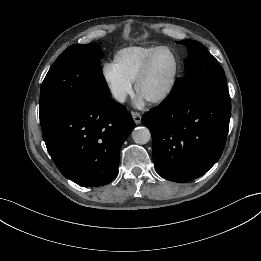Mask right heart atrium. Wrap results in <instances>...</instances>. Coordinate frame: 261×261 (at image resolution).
I'll return each mask as SVG.
<instances>
[{
    "mask_svg": "<svg viewBox=\"0 0 261 261\" xmlns=\"http://www.w3.org/2000/svg\"><path fill=\"white\" fill-rule=\"evenodd\" d=\"M103 81L117 103H124L132 94V82L120 74L112 63H105L101 70Z\"/></svg>",
    "mask_w": 261,
    "mask_h": 261,
    "instance_id": "obj_1",
    "label": "right heart atrium"
}]
</instances>
